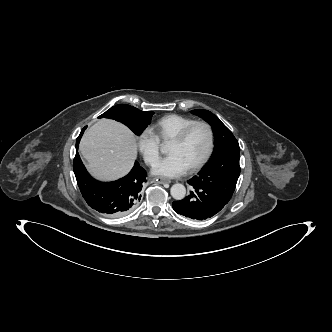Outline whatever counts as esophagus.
Listing matches in <instances>:
<instances>
[{
	"label": "esophagus",
	"mask_w": 332,
	"mask_h": 332,
	"mask_svg": "<svg viewBox=\"0 0 332 332\" xmlns=\"http://www.w3.org/2000/svg\"><path fill=\"white\" fill-rule=\"evenodd\" d=\"M156 183H159V184H163V183H170L171 181L167 178H163V177H155L153 179Z\"/></svg>",
	"instance_id": "obj_1"
}]
</instances>
